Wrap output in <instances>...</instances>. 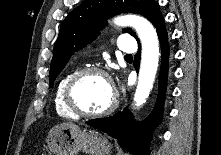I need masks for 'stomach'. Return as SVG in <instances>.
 Masks as SVG:
<instances>
[{"label":"stomach","mask_w":221,"mask_h":155,"mask_svg":"<svg viewBox=\"0 0 221 155\" xmlns=\"http://www.w3.org/2000/svg\"><path fill=\"white\" fill-rule=\"evenodd\" d=\"M46 149L50 155H110L112 145L96 131L82 130L72 123L54 126L47 137Z\"/></svg>","instance_id":"stomach-1"}]
</instances>
